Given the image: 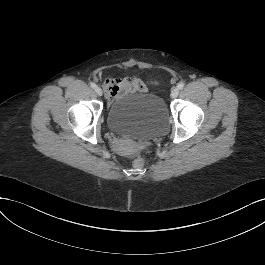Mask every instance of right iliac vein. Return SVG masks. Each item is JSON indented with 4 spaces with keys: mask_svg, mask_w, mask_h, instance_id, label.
Instances as JSON below:
<instances>
[{
    "mask_svg": "<svg viewBox=\"0 0 265 265\" xmlns=\"http://www.w3.org/2000/svg\"><path fill=\"white\" fill-rule=\"evenodd\" d=\"M95 93H96L98 96H101V95L103 94L102 89H101L100 87H98V86L95 88Z\"/></svg>",
    "mask_w": 265,
    "mask_h": 265,
    "instance_id": "63e3f726",
    "label": "right iliac vein"
}]
</instances>
